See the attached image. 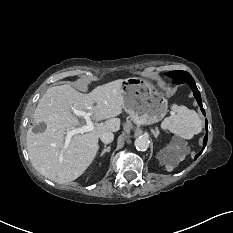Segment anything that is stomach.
I'll list each match as a JSON object with an SVG mask.
<instances>
[{
    "mask_svg": "<svg viewBox=\"0 0 233 233\" xmlns=\"http://www.w3.org/2000/svg\"><path fill=\"white\" fill-rule=\"evenodd\" d=\"M124 110L138 125L160 121L167 112V100L150 79L128 77L122 81Z\"/></svg>",
    "mask_w": 233,
    "mask_h": 233,
    "instance_id": "1",
    "label": "stomach"
}]
</instances>
